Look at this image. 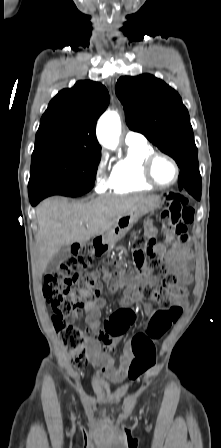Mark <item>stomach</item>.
Returning a JSON list of instances; mask_svg holds the SVG:
<instances>
[{
  "label": "stomach",
  "mask_w": 221,
  "mask_h": 448,
  "mask_svg": "<svg viewBox=\"0 0 221 448\" xmlns=\"http://www.w3.org/2000/svg\"><path fill=\"white\" fill-rule=\"evenodd\" d=\"M160 197L154 196L146 203L135 210L127 213L119 218L116 224L107 231L103 236V240L109 244L114 245L119 239L123 238L129 229L145 214L155 210L160 205Z\"/></svg>",
  "instance_id": "obj_1"
}]
</instances>
